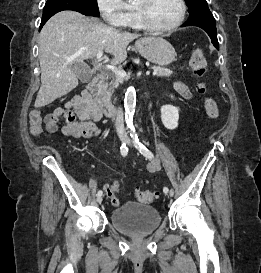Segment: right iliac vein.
I'll list each match as a JSON object with an SVG mask.
<instances>
[{
  "label": "right iliac vein",
  "instance_id": "right-iliac-vein-1",
  "mask_svg": "<svg viewBox=\"0 0 261 273\" xmlns=\"http://www.w3.org/2000/svg\"><path fill=\"white\" fill-rule=\"evenodd\" d=\"M121 142H124V138H123V137L121 138ZM102 200H103L102 195L97 197V202H98L99 204H101Z\"/></svg>",
  "mask_w": 261,
  "mask_h": 273
}]
</instances>
